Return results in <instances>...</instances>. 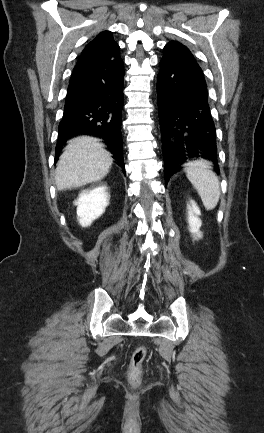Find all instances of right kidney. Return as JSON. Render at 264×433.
Wrapping results in <instances>:
<instances>
[{
	"label": "right kidney",
	"mask_w": 264,
	"mask_h": 433,
	"mask_svg": "<svg viewBox=\"0 0 264 433\" xmlns=\"http://www.w3.org/2000/svg\"><path fill=\"white\" fill-rule=\"evenodd\" d=\"M107 187L102 185L92 189L83 190L75 201L77 218L82 227H87L99 218L109 205L110 195Z\"/></svg>",
	"instance_id": "ca27d5eb"
}]
</instances>
